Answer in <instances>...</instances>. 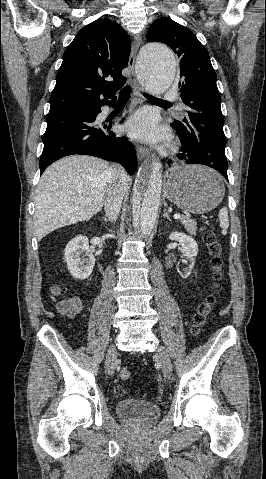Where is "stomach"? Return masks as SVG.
<instances>
[{"instance_id":"obj_1","label":"stomach","mask_w":266,"mask_h":479,"mask_svg":"<svg viewBox=\"0 0 266 479\" xmlns=\"http://www.w3.org/2000/svg\"><path fill=\"white\" fill-rule=\"evenodd\" d=\"M165 193L182 210L204 214L220 204L225 187L216 171L202 165H181L170 171Z\"/></svg>"}]
</instances>
